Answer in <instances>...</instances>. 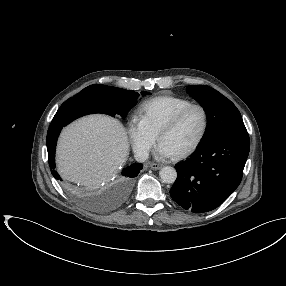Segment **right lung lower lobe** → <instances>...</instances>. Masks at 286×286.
Segmentation results:
<instances>
[{"instance_id":"98d812e1","label":"right lung lower lobe","mask_w":286,"mask_h":286,"mask_svg":"<svg viewBox=\"0 0 286 286\" xmlns=\"http://www.w3.org/2000/svg\"><path fill=\"white\" fill-rule=\"evenodd\" d=\"M62 127H63L62 124L52 121L49 126V130L47 133V139H46L49 166L51 168L52 175L57 180H61V178L59 174L57 173V171L55 170L54 156H55V147H56L57 138L59 136V133ZM142 167H143L142 164L134 163L122 171L123 181L125 183V186H128L130 184L131 179L138 175Z\"/></svg>"}]
</instances>
